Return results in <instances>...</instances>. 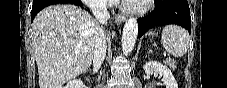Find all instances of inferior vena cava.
Listing matches in <instances>:
<instances>
[{
  "label": "inferior vena cava",
  "instance_id": "602c4592",
  "mask_svg": "<svg viewBox=\"0 0 227 88\" xmlns=\"http://www.w3.org/2000/svg\"><path fill=\"white\" fill-rule=\"evenodd\" d=\"M95 18L102 24L106 25L107 21L110 18V15L107 11L106 2L98 1L92 3L90 6ZM106 37L103 28H100L95 35V45H94V54H93V67L94 72H97L101 67L105 55H106Z\"/></svg>",
  "mask_w": 227,
  "mask_h": 88
}]
</instances>
